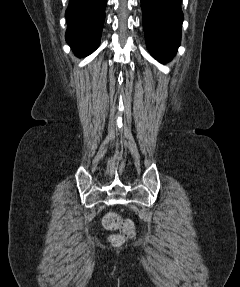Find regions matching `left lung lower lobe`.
Wrapping results in <instances>:
<instances>
[{
	"label": "left lung lower lobe",
	"mask_w": 240,
	"mask_h": 287,
	"mask_svg": "<svg viewBox=\"0 0 240 287\" xmlns=\"http://www.w3.org/2000/svg\"><path fill=\"white\" fill-rule=\"evenodd\" d=\"M181 0H141L147 47L160 62L176 54L181 41Z\"/></svg>",
	"instance_id": "0a47b994"
}]
</instances>
